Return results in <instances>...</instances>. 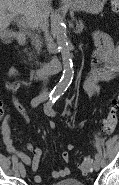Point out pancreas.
Listing matches in <instances>:
<instances>
[{
    "label": "pancreas",
    "mask_w": 119,
    "mask_h": 185,
    "mask_svg": "<svg viewBox=\"0 0 119 185\" xmlns=\"http://www.w3.org/2000/svg\"><path fill=\"white\" fill-rule=\"evenodd\" d=\"M83 28H84V25L80 21L79 24L75 27V32L80 33L82 32ZM30 38H31V44L34 46L35 50L39 51L42 47L39 37L37 35H31Z\"/></svg>",
    "instance_id": "cf45deb5"
}]
</instances>
